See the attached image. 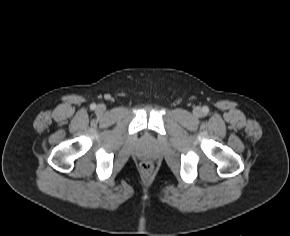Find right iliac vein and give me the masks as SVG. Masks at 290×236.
<instances>
[{
	"label": "right iliac vein",
	"instance_id": "obj_1",
	"mask_svg": "<svg viewBox=\"0 0 290 236\" xmlns=\"http://www.w3.org/2000/svg\"><path fill=\"white\" fill-rule=\"evenodd\" d=\"M96 110H97L98 113H103V112H105L106 107H105V105L100 104V105L97 106Z\"/></svg>",
	"mask_w": 290,
	"mask_h": 236
}]
</instances>
